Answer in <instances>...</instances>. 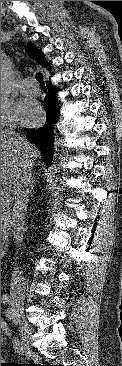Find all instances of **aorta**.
Returning a JSON list of instances; mask_svg holds the SVG:
<instances>
[{
  "label": "aorta",
  "mask_w": 122,
  "mask_h": 366,
  "mask_svg": "<svg viewBox=\"0 0 122 366\" xmlns=\"http://www.w3.org/2000/svg\"><path fill=\"white\" fill-rule=\"evenodd\" d=\"M12 88L11 65L8 61H1V98L7 97Z\"/></svg>",
  "instance_id": "1"
}]
</instances>
